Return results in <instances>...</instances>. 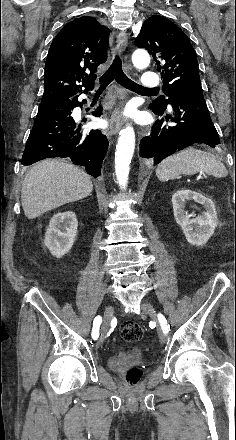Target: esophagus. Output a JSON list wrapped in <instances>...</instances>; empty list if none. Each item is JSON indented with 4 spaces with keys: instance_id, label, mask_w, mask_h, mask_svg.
I'll use <instances>...</instances> for the list:
<instances>
[{
    "instance_id": "esophagus-1",
    "label": "esophagus",
    "mask_w": 236,
    "mask_h": 440,
    "mask_svg": "<svg viewBox=\"0 0 236 440\" xmlns=\"http://www.w3.org/2000/svg\"><path fill=\"white\" fill-rule=\"evenodd\" d=\"M127 47V34L125 31H120L117 36L116 50L119 54L123 53ZM110 131L112 134H116L123 124L122 110L120 106H117L110 117Z\"/></svg>"
}]
</instances>
